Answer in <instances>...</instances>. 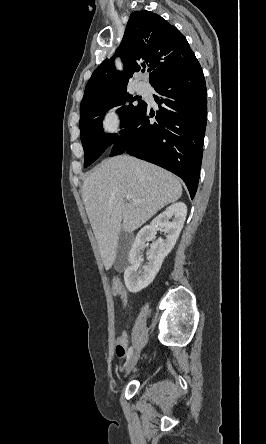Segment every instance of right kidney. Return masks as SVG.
Here are the masks:
<instances>
[{"mask_svg": "<svg viewBox=\"0 0 266 444\" xmlns=\"http://www.w3.org/2000/svg\"><path fill=\"white\" fill-rule=\"evenodd\" d=\"M187 215V207L184 203H175L158 215L150 225L143 227L137 234L129 253V263L124 272V281L129 292L137 293L146 288L159 272L163 260L173 249L179 234L183 228ZM161 229L166 238L156 239L157 230ZM143 271L137 274L142 261V251L146 242L153 241Z\"/></svg>", "mask_w": 266, "mask_h": 444, "instance_id": "right-kidney-1", "label": "right kidney"}]
</instances>
